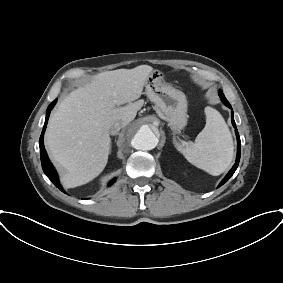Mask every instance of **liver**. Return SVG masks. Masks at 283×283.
Segmentation results:
<instances>
[{"mask_svg": "<svg viewBox=\"0 0 283 283\" xmlns=\"http://www.w3.org/2000/svg\"><path fill=\"white\" fill-rule=\"evenodd\" d=\"M152 70L140 65L99 73L60 102L49 119L45 145L64 171L61 181L66 188L86 184L104 170L111 149L110 127L134 120L144 103L136 100Z\"/></svg>", "mask_w": 283, "mask_h": 283, "instance_id": "liver-1", "label": "liver"}]
</instances>
